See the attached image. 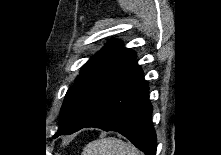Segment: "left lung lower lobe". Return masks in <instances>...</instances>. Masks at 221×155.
I'll return each mask as SVG.
<instances>
[{
	"instance_id": "obj_1",
	"label": "left lung lower lobe",
	"mask_w": 221,
	"mask_h": 155,
	"mask_svg": "<svg viewBox=\"0 0 221 155\" xmlns=\"http://www.w3.org/2000/svg\"><path fill=\"white\" fill-rule=\"evenodd\" d=\"M148 97V84L134 56L100 83L73 122L58 131L56 137L96 127L119 132L145 155H156L157 140Z\"/></svg>"
}]
</instances>
